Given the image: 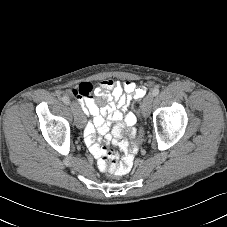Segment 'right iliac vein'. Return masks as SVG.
I'll return each mask as SVG.
<instances>
[{"label":"right iliac vein","mask_w":227,"mask_h":227,"mask_svg":"<svg viewBox=\"0 0 227 227\" xmlns=\"http://www.w3.org/2000/svg\"><path fill=\"white\" fill-rule=\"evenodd\" d=\"M71 110H72V113L74 115V121H75L76 126L78 128H83L85 118H84V115H83L80 107L78 106V104L73 102L71 104Z\"/></svg>","instance_id":"1"}]
</instances>
